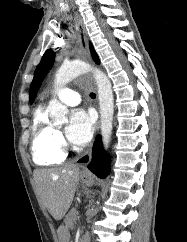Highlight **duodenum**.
<instances>
[{"instance_id": "obj_1", "label": "duodenum", "mask_w": 187, "mask_h": 242, "mask_svg": "<svg viewBox=\"0 0 187 242\" xmlns=\"http://www.w3.org/2000/svg\"><path fill=\"white\" fill-rule=\"evenodd\" d=\"M79 242H89L87 236H83Z\"/></svg>"}]
</instances>
